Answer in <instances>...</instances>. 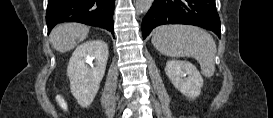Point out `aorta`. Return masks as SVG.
Wrapping results in <instances>:
<instances>
[{
  "label": "aorta",
  "mask_w": 273,
  "mask_h": 118,
  "mask_svg": "<svg viewBox=\"0 0 273 118\" xmlns=\"http://www.w3.org/2000/svg\"><path fill=\"white\" fill-rule=\"evenodd\" d=\"M152 3L153 0H136L135 8L137 13H146L150 9Z\"/></svg>",
  "instance_id": "1"
}]
</instances>
